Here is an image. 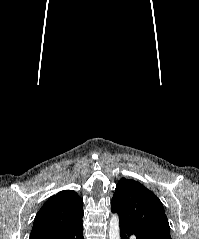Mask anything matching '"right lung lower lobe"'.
Returning <instances> with one entry per match:
<instances>
[{
  "mask_svg": "<svg viewBox=\"0 0 199 239\" xmlns=\"http://www.w3.org/2000/svg\"><path fill=\"white\" fill-rule=\"evenodd\" d=\"M30 239H84L82 220L60 230L32 234Z\"/></svg>",
  "mask_w": 199,
  "mask_h": 239,
  "instance_id": "1",
  "label": "right lung lower lobe"
}]
</instances>
